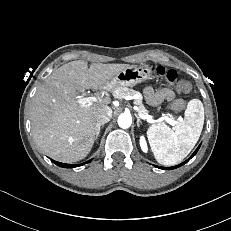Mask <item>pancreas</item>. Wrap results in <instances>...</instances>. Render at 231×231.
<instances>
[{"mask_svg": "<svg viewBox=\"0 0 231 231\" xmlns=\"http://www.w3.org/2000/svg\"><path fill=\"white\" fill-rule=\"evenodd\" d=\"M112 93H113V96L117 99H123L126 96H134V95L138 94L137 91L128 89L126 87H114V88H112ZM134 102L139 107V111H138L139 114H141V115H147L148 114L147 110L144 108V106L142 104V99H136Z\"/></svg>", "mask_w": 231, "mask_h": 231, "instance_id": "pancreas-1", "label": "pancreas"}]
</instances>
